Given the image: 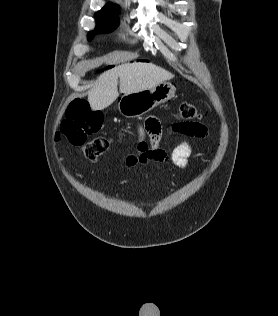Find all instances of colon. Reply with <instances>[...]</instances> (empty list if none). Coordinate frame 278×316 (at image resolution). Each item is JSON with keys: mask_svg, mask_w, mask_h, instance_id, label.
I'll list each match as a JSON object with an SVG mask.
<instances>
[{"mask_svg": "<svg viewBox=\"0 0 278 316\" xmlns=\"http://www.w3.org/2000/svg\"><path fill=\"white\" fill-rule=\"evenodd\" d=\"M205 115L194 105L183 102L179 104L176 118L171 123V130L177 134L196 136L203 129ZM103 115L89 108L83 99L72 101L67 109L65 119L61 124L60 133L73 145H83L86 158L96 160L109 148L111 139L98 136L86 142L87 136L100 130Z\"/></svg>", "mask_w": 278, "mask_h": 316, "instance_id": "1", "label": "colon"}]
</instances>
